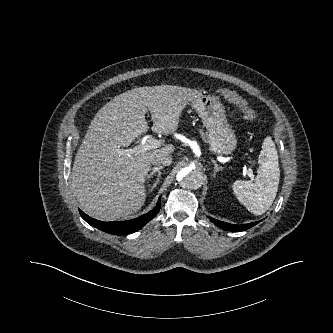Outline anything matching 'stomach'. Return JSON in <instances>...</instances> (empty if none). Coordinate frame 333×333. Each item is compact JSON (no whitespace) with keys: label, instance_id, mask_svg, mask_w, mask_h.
<instances>
[{"label":"stomach","instance_id":"1","mask_svg":"<svg viewBox=\"0 0 333 333\" xmlns=\"http://www.w3.org/2000/svg\"><path fill=\"white\" fill-rule=\"evenodd\" d=\"M191 105L206 126L204 139L210 150L220 155L231 154L237 146V138L226 119L225 108L219 97L202 94Z\"/></svg>","mask_w":333,"mask_h":333}]
</instances>
